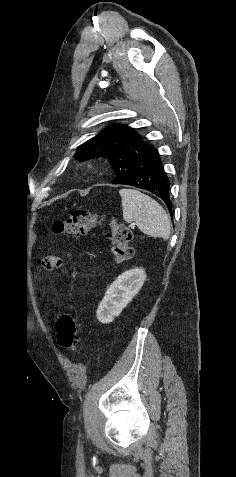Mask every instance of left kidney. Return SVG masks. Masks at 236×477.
<instances>
[{"mask_svg":"<svg viewBox=\"0 0 236 477\" xmlns=\"http://www.w3.org/2000/svg\"><path fill=\"white\" fill-rule=\"evenodd\" d=\"M145 280L146 273L141 268L128 270L119 275L108 287L97 309V319L103 324L112 322L139 292Z\"/></svg>","mask_w":236,"mask_h":477,"instance_id":"obj_1","label":"left kidney"}]
</instances>
